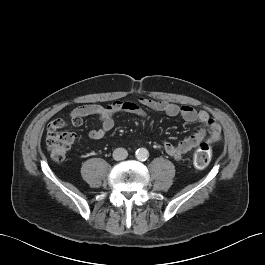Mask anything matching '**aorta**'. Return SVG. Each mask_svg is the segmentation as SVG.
Wrapping results in <instances>:
<instances>
[{
  "label": "aorta",
  "mask_w": 265,
  "mask_h": 265,
  "mask_svg": "<svg viewBox=\"0 0 265 265\" xmlns=\"http://www.w3.org/2000/svg\"><path fill=\"white\" fill-rule=\"evenodd\" d=\"M149 152L146 148H139L136 150V158L140 161L147 160Z\"/></svg>",
  "instance_id": "aorta-1"
}]
</instances>
